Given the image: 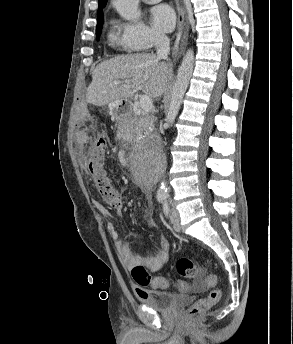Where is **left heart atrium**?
Masks as SVG:
<instances>
[{
    "label": "left heart atrium",
    "instance_id": "obj_1",
    "mask_svg": "<svg viewBox=\"0 0 293 344\" xmlns=\"http://www.w3.org/2000/svg\"><path fill=\"white\" fill-rule=\"evenodd\" d=\"M150 21L154 29L159 32H169L175 24L173 10L167 5H158L150 11Z\"/></svg>",
    "mask_w": 293,
    "mask_h": 344
}]
</instances>
